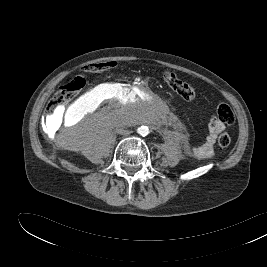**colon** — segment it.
<instances>
[{
	"instance_id": "5ec220e1",
	"label": "colon",
	"mask_w": 267,
	"mask_h": 267,
	"mask_svg": "<svg viewBox=\"0 0 267 267\" xmlns=\"http://www.w3.org/2000/svg\"><path fill=\"white\" fill-rule=\"evenodd\" d=\"M112 62H105L99 64H92L87 67L90 71L104 70L110 67ZM163 81L176 94L186 101H192L196 92L192 85L181 80L175 73L165 71L163 73ZM85 86V80L82 77H74L66 84L61 86L54 94L47 106V113L50 116L55 115L57 110L70 102ZM217 116L226 124H232L234 121V114L228 104L221 103L217 106ZM231 143V138L228 133H222L218 137V146L221 149L227 148Z\"/></svg>"
}]
</instances>
